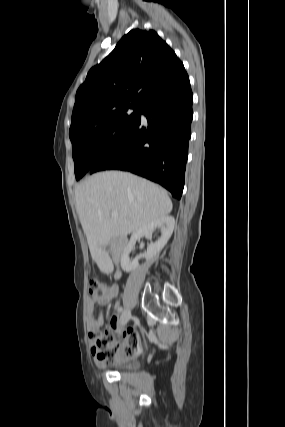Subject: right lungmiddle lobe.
Returning a JSON list of instances; mask_svg holds the SVG:
<instances>
[{"label": "right lung middle lobe", "instance_id": "dd1d6c3e", "mask_svg": "<svg viewBox=\"0 0 285 427\" xmlns=\"http://www.w3.org/2000/svg\"><path fill=\"white\" fill-rule=\"evenodd\" d=\"M139 115L140 105H129L84 124L69 134L77 180L101 163L124 141Z\"/></svg>", "mask_w": 285, "mask_h": 427}]
</instances>
